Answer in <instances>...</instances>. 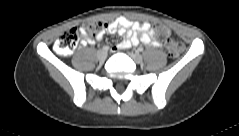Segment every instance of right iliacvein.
<instances>
[{"label": "right iliac vein", "mask_w": 239, "mask_h": 136, "mask_svg": "<svg viewBox=\"0 0 239 136\" xmlns=\"http://www.w3.org/2000/svg\"><path fill=\"white\" fill-rule=\"evenodd\" d=\"M97 57H98V59H99L100 61L105 60L106 57H107V51H106V50H103V49L99 50V51L97 52Z\"/></svg>", "instance_id": "63e3f726"}]
</instances>
